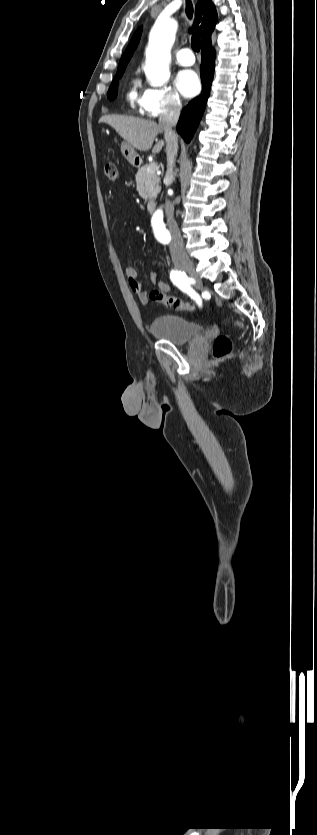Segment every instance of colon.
I'll use <instances>...</instances> for the list:
<instances>
[{"label":"colon","instance_id":"5ec220e1","mask_svg":"<svg viewBox=\"0 0 317 835\" xmlns=\"http://www.w3.org/2000/svg\"><path fill=\"white\" fill-rule=\"evenodd\" d=\"M104 172L106 177L111 180L115 181L117 179V168L113 162H107L104 166ZM149 299L153 302L163 304L167 307L180 310V311H193L194 306L190 303L185 302L181 298L173 295H168L160 290H152L149 295ZM239 327L242 325L239 322L235 323ZM232 351V342L228 336L221 335L218 336L213 343L212 353L216 359H222L228 356Z\"/></svg>","mask_w":317,"mask_h":835}]
</instances>
